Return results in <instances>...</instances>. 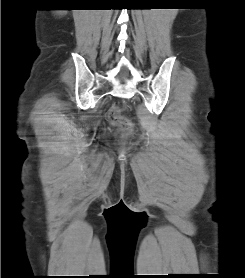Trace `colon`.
<instances>
[{
	"mask_svg": "<svg viewBox=\"0 0 245 278\" xmlns=\"http://www.w3.org/2000/svg\"><path fill=\"white\" fill-rule=\"evenodd\" d=\"M111 122L123 129H129L131 126L130 120L123 114V106L116 105L109 112Z\"/></svg>",
	"mask_w": 245,
	"mask_h": 278,
	"instance_id": "colon-1",
	"label": "colon"
}]
</instances>
